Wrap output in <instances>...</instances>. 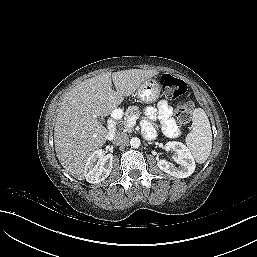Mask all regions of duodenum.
Returning a JSON list of instances; mask_svg holds the SVG:
<instances>
[{"label": "duodenum", "mask_w": 257, "mask_h": 257, "mask_svg": "<svg viewBox=\"0 0 257 257\" xmlns=\"http://www.w3.org/2000/svg\"><path fill=\"white\" fill-rule=\"evenodd\" d=\"M108 129H109L108 137L110 139L114 138V136H115V121L114 120H111L109 122Z\"/></svg>", "instance_id": "obj_1"}]
</instances>
